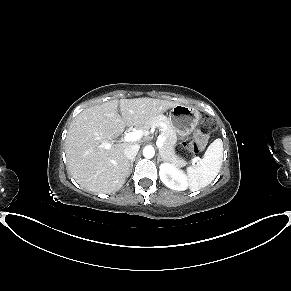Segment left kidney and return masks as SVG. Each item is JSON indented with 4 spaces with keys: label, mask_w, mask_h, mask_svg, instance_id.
I'll use <instances>...</instances> for the list:
<instances>
[{
    "label": "left kidney",
    "mask_w": 291,
    "mask_h": 291,
    "mask_svg": "<svg viewBox=\"0 0 291 291\" xmlns=\"http://www.w3.org/2000/svg\"><path fill=\"white\" fill-rule=\"evenodd\" d=\"M159 176L162 183L170 189L184 191L188 188L186 175L173 164H161L159 167Z\"/></svg>",
    "instance_id": "5707ae66"
}]
</instances>
